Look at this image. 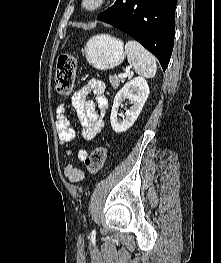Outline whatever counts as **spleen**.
Segmentation results:
<instances>
[{"label":"spleen","mask_w":221,"mask_h":263,"mask_svg":"<svg viewBox=\"0 0 221 263\" xmlns=\"http://www.w3.org/2000/svg\"><path fill=\"white\" fill-rule=\"evenodd\" d=\"M125 53L128 62L134 67L135 72L146 78H152L156 74L157 65L155 57L140 43L130 40L125 45Z\"/></svg>","instance_id":"3e777b00"}]
</instances>
